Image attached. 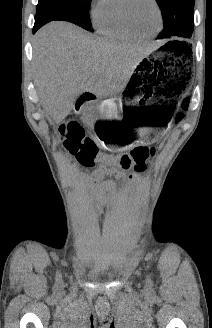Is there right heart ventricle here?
<instances>
[{
    "label": "right heart ventricle",
    "instance_id": "right-heart-ventricle-1",
    "mask_svg": "<svg viewBox=\"0 0 212 328\" xmlns=\"http://www.w3.org/2000/svg\"><path fill=\"white\" fill-rule=\"evenodd\" d=\"M123 0H100L94 12V24L99 33L115 40H137L141 36L125 23Z\"/></svg>",
    "mask_w": 212,
    "mask_h": 328
}]
</instances>
